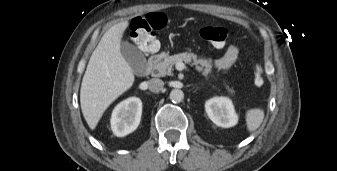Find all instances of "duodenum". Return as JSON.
Segmentation results:
<instances>
[{"mask_svg": "<svg viewBox=\"0 0 337 171\" xmlns=\"http://www.w3.org/2000/svg\"><path fill=\"white\" fill-rule=\"evenodd\" d=\"M157 59H158V56H157V55H153V56H151V57L149 58L148 64H147L146 68H145L144 71H143V74H144V75H147V74L151 71L152 66H153V64L156 62Z\"/></svg>", "mask_w": 337, "mask_h": 171, "instance_id": "duodenum-1", "label": "duodenum"}]
</instances>
